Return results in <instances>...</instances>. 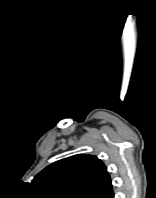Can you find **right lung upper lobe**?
Wrapping results in <instances>:
<instances>
[{
  "label": "right lung upper lobe",
  "mask_w": 156,
  "mask_h": 198,
  "mask_svg": "<svg viewBox=\"0 0 156 198\" xmlns=\"http://www.w3.org/2000/svg\"><path fill=\"white\" fill-rule=\"evenodd\" d=\"M32 184L49 198H114L110 175L93 155L57 161L37 174Z\"/></svg>",
  "instance_id": "cb5924a9"
}]
</instances>
